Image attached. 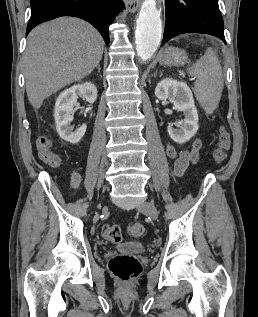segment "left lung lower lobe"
Returning <instances> with one entry per match:
<instances>
[{
    "mask_svg": "<svg viewBox=\"0 0 258 317\" xmlns=\"http://www.w3.org/2000/svg\"><path fill=\"white\" fill-rule=\"evenodd\" d=\"M163 42L183 33L210 34L225 44L224 23L218 0H165Z\"/></svg>",
    "mask_w": 258,
    "mask_h": 317,
    "instance_id": "left-lung-lower-lobe-1",
    "label": "left lung lower lobe"
}]
</instances>
